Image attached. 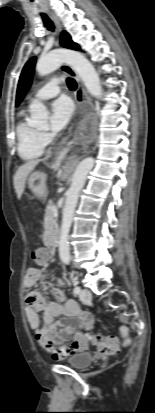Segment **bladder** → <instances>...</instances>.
Here are the masks:
<instances>
[{
  "label": "bladder",
  "instance_id": "1",
  "mask_svg": "<svg viewBox=\"0 0 155 413\" xmlns=\"http://www.w3.org/2000/svg\"><path fill=\"white\" fill-rule=\"evenodd\" d=\"M94 357L89 353H79L70 357L67 361L68 365L73 369L83 370L92 365Z\"/></svg>",
  "mask_w": 155,
  "mask_h": 413
}]
</instances>
